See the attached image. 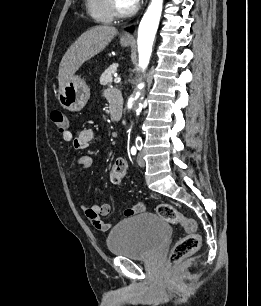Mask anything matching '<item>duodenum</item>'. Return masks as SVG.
Instances as JSON below:
<instances>
[{"label":"duodenum","instance_id":"1","mask_svg":"<svg viewBox=\"0 0 261 306\" xmlns=\"http://www.w3.org/2000/svg\"><path fill=\"white\" fill-rule=\"evenodd\" d=\"M110 117L114 121H120L122 118V102L114 100L110 104Z\"/></svg>","mask_w":261,"mask_h":306}]
</instances>
